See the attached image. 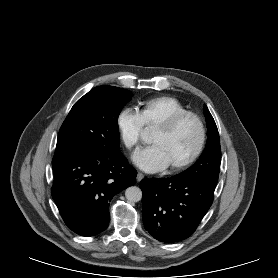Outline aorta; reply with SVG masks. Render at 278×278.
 <instances>
[{
    "instance_id": "aorta-1",
    "label": "aorta",
    "mask_w": 278,
    "mask_h": 278,
    "mask_svg": "<svg viewBox=\"0 0 278 278\" xmlns=\"http://www.w3.org/2000/svg\"><path fill=\"white\" fill-rule=\"evenodd\" d=\"M142 138L146 140V132L142 134ZM125 196L126 199L131 203L139 202L142 199V191L139 187L131 186L126 189Z\"/></svg>"
}]
</instances>
